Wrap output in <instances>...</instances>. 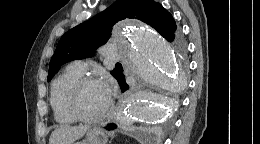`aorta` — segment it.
<instances>
[{
  "instance_id": "obj_1",
  "label": "aorta",
  "mask_w": 260,
  "mask_h": 144,
  "mask_svg": "<svg viewBox=\"0 0 260 144\" xmlns=\"http://www.w3.org/2000/svg\"><path fill=\"white\" fill-rule=\"evenodd\" d=\"M122 55L127 67L146 83L167 90L181 85V65L173 47L155 30L136 24L121 37ZM171 100L162 95L137 92L124 105L121 122L157 123L168 117Z\"/></svg>"
}]
</instances>
